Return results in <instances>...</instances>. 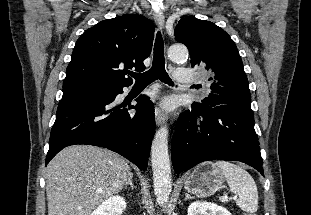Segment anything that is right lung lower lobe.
<instances>
[{
  "label": "right lung lower lobe",
  "mask_w": 311,
  "mask_h": 215,
  "mask_svg": "<svg viewBox=\"0 0 311 215\" xmlns=\"http://www.w3.org/2000/svg\"><path fill=\"white\" fill-rule=\"evenodd\" d=\"M98 92L63 95L51 129L46 164L64 147L75 144L108 148L146 170L155 131L154 105L149 97L136 99L134 115L115 106L123 87L97 84Z\"/></svg>",
  "instance_id": "98d812e1"
}]
</instances>
